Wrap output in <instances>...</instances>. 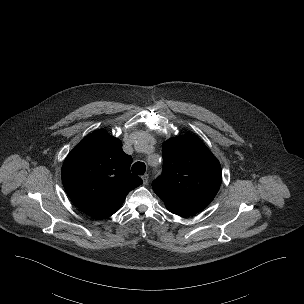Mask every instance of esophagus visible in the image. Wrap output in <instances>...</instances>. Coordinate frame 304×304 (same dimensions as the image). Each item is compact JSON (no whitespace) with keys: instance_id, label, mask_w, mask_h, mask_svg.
I'll return each mask as SVG.
<instances>
[{"instance_id":"esophagus-1","label":"esophagus","mask_w":304,"mask_h":304,"mask_svg":"<svg viewBox=\"0 0 304 304\" xmlns=\"http://www.w3.org/2000/svg\"><path fill=\"white\" fill-rule=\"evenodd\" d=\"M142 180H143V184L146 185L148 184V180H149V175L145 174L142 176Z\"/></svg>"}]
</instances>
